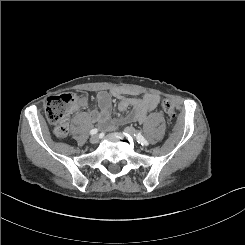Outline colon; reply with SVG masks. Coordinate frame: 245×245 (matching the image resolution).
<instances>
[{"mask_svg":"<svg viewBox=\"0 0 245 245\" xmlns=\"http://www.w3.org/2000/svg\"><path fill=\"white\" fill-rule=\"evenodd\" d=\"M86 98L85 93H64L50 97L45 106V115L54 125V134L57 138H65L68 134L67 120L79 103ZM161 106L170 119L176 118V109L168 99L161 100Z\"/></svg>","mask_w":245,"mask_h":245,"instance_id":"colon-1","label":"colon"}]
</instances>
